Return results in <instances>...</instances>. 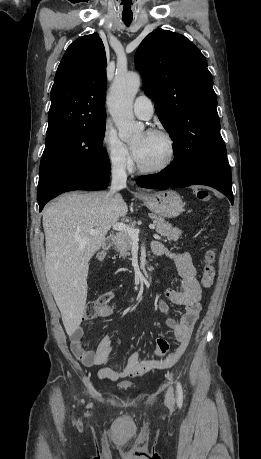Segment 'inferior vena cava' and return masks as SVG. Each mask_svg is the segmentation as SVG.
Instances as JSON below:
<instances>
[{
    "label": "inferior vena cava",
    "mask_w": 261,
    "mask_h": 459,
    "mask_svg": "<svg viewBox=\"0 0 261 459\" xmlns=\"http://www.w3.org/2000/svg\"><path fill=\"white\" fill-rule=\"evenodd\" d=\"M127 174L125 170V163L122 160L114 162L112 165V183L109 192L111 200L119 198L117 193L119 190L126 187Z\"/></svg>",
    "instance_id": "inferior-vena-cava-1"
}]
</instances>
